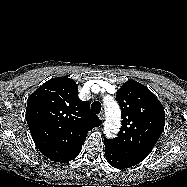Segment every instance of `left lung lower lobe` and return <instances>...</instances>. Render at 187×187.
<instances>
[{
  "instance_id": "1",
  "label": "left lung lower lobe",
  "mask_w": 187,
  "mask_h": 187,
  "mask_svg": "<svg viewBox=\"0 0 187 187\" xmlns=\"http://www.w3.org/2000/svg\"><path fill=\"white\" fill-rule=\"evenodd\" d=\"M105 155L108 163L111 166L118 169L129 168L138 164L137 162L122 156L121 154H119L118 152H116L114 149L110 148L106 144H105Z\"/></svg>"
}]
</instances>
